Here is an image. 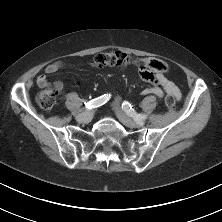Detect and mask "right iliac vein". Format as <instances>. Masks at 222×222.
Returning <instances> with one entry per match:
<instances>
[{
    "mask_svg": "<svg viewBox=\"0 0 222 222\" xmlns=\"http://www.w3.org/2000/svg\"><path fill=\"white\" fill-rule=\"evenodd\" d=\"M93 118V112L91 110H87L79 115H77L76 119L78 122L89 123Z\"/></svg>",
    "mask_w": 222,
    "mask_h": 222,
    "instance_id": "1",
    "label": "right iliac vein"
}]
</instances>
